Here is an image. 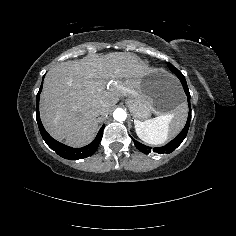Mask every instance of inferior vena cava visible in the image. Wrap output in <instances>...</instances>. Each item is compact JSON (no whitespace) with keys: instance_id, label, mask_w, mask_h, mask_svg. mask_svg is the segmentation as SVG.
Listing matches in <instances>:
<instances>
[{"instance_id":"obj_1","label":"inferior vena cava","mask_w":236,"mask_h":236,"mask_svg":"<svg viewBox=\"0 0 236 236\" xmlns=\"http://www.w3.org/2000/svg\"><path fill=\"white\" fill-rule=\"evenodd\" d=\"M94 116H99L100 115V109H97L96 111L92 112Z\"/></svg>"}]
</instances>
